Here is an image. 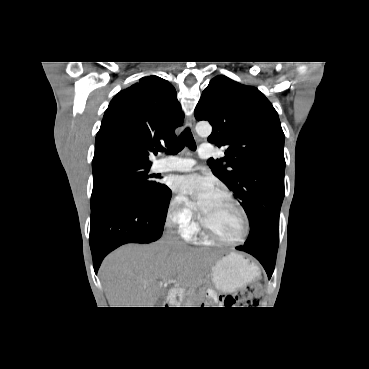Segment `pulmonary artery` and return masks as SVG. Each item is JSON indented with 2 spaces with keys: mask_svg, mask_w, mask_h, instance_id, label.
<instances>
[{
  "mask_svg": "<svg viewBox=\"0 0 369 369\" xmlns=\"http://www.w3.org/2000/svg\"><path fill=\"white\" fill-rule=\"evenodd\" d=\"M198 154L202 159H208L214 155V149L210 144H202ZM195 164V161L190 158L170 157L162 160L157 164V170L160 172L167 171H188Z\"/></svg>",
  "mask_w": 369,
  "mask_h": 369,
  "instance_id": "pulmonary-artery-1",
  "label": "pulmonary artery"
}]
</instances>
